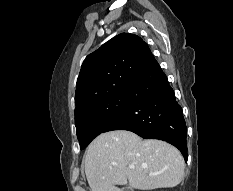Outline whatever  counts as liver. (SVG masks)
Returning a JSON list of instances; mask_svg holds the SVG:
<instances>
[{"mask_svg": "<svg viewBox=\"0 0 233 191\" xmlns=\"http://www.w3.org/2000/svg\"><path fill=\"white\" fill-rule=\"evenodd\" d=\"M84 161L91 191H122L117 185L127 182L139 190L172 188L182 181L185 169L177 148L161 140H142L127 130L100 134L88 146Z\"/></svg>", "mask_w": 233, "mask_h": 191, "instance_id": "1", "label": "liver"}]
</instances>
